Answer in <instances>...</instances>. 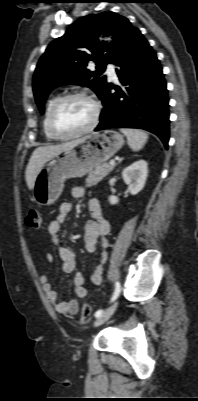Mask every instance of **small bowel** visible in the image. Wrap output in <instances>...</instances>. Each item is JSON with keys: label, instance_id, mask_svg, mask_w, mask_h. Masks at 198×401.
Listing matches in <instances>:
<instances>
[{"label": "small bowel", "instance_id": "obj_1", "mask_svg": "<svg viewBox=\"0 0 198 401\" xmlns=\"http://www.w3.org/2000/svg\"><path fill=\"white\" fill-rule=\"evenodd\" d=\"M72 195L75 198H82L85 195L83 187H75L72 190ZM72 211V204L64 202L60 205L58 215L49 222L47 233L50 242L56 247L59 258L62 261V270L65 273H72L75 269V259L73 252L62 245L59 238V231ZM89 212L91 218L85 226V248L89 253H98L99 260L95 265L91 275V282L94 285H99L102 281L104 264L108 258L109 241L107 239L110 233V223L104 217L100 202L96 198L89 201ZM47 259L52 261L54 255L49 253ZM43 286L44 292L55 307V310L62 315H73L78 311V303L75 299L66 301L57 300V292L53 288L48 276L42 275L39 278ZM85 278L82 272H77L73 278L74 292L78 298H84L87 295V288L84 284Z\"/></svg>", "mask_w": 198, "mask_h": 401}]
</instances>
